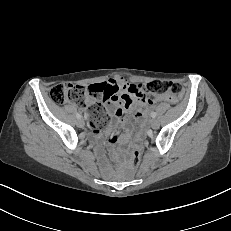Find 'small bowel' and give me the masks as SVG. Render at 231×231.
<instances>
[{"label":"small bowel","mask_w":231,"mask_h":231,"mask_svg":"<svg viewBox=\"0 0 231 231\" xmlns=\"http://www.w3.org/2000/svg\"><path fill=\"white\" fill-rule=\"evenodd\" d=\"M91 97L88 101L94 100V97L101 98L106 104L108 112L116 118H120L124 112L136 113L138 119L147 115L148 107L142 99L140 86L136 83H129L123 75H117L108 81L92 84L90 86ZM162 102H171L174 100L170 95H164L160 98ZM92 133L98 139H103V132L99 127L92 126ZM119 128L113 124L105 133L108 142L118 141Z\"/></svg>","instance_id":"small-bowel-1"}]
</instances>
